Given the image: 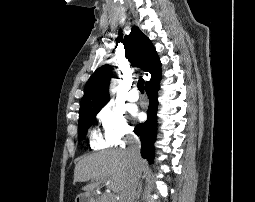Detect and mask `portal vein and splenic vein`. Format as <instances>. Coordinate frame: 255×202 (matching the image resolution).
Returning <instances> with one entry per match:
<instances>
[{
    "label": "portal vein and splenic vein",
    "instance_id": "portal-vein-and-splenic-vein-1",
    "mask_svg": "<svg viewBox=\"0 0 255 202\" xmlns=\"http://www.w3.org/2000/svg\"><path fill=\"white\" fill-rule=\"evenodd\" d=\"M106 182H107V183H109V182H110V180H107Z\"/></svg>",
    "mask_w": 255,
    "mask_h": 202
}]
</instances>
